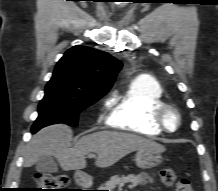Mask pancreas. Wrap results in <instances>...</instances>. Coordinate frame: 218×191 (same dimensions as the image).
Listing matches in <instances>:
<instances>
[{
	"mask_svg": "<svg viewBox=\"0 0 218 191\" xmlns=\"http://www.w3.org/2000/svg\"><path fill=\"white\" fill-rule=\"evenodd\" d=\"M149 177L145 174V173H141L139 175H133L130 174L128 176H113L110 178L109 181H107L104 186H102V188L100 189H108V190H114V189H118V190H122V188L128 184L129 188H134L138 185H143L147 183V179Z\"/></svg>",
	"mask_w": 218,
	"mask_h": 191,
	"instance_id": "cf45deb5",
	"label": "pancreas"
}]
</instances>
